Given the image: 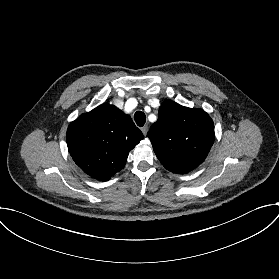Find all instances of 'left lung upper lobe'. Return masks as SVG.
<instances>
[{
    "instance_id": "5c2ea615",
    "label": "left lung upper lobe",
    "mask_w": 279,
    "mask_h": 279,
    "mask_svg": "<svg viewBox=\"0 0 279 279\" xmlns=\"http://www.w3.org/2000/svg\"><path fill=\"white\" fill-rule=\"evenodd\" d=\"M147 136L163 166L178 174L197 168L213 145L214 124L201 109H191L168 100L159 108L158 120Z\"/></svg>"
}]
</instances>
